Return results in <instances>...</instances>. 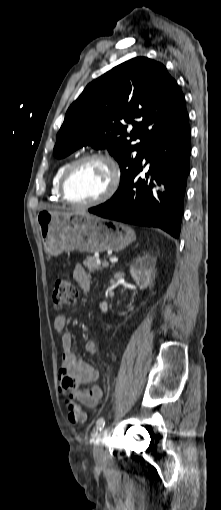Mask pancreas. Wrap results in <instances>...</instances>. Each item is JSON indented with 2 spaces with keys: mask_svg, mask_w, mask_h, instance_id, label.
Instances as JSON below:
<instances>
[{
  "mask_svg": "<svg viewBox=\"0 0 221 510\" xmlns=\"http://www.w3.org/2000/svg\"><path fill=\"white\" fill-rule=\"evenodd\" d=\"M83 265L88 268L89 271H98L102 270L103 266L100 265V263H97L94 256H88L84 261Z\"/></svg>",
  "mask_w": 221,
  "mask_h": 510,
  "instance_id": "1",
  "label": "pancreas"
}]
</instances>
